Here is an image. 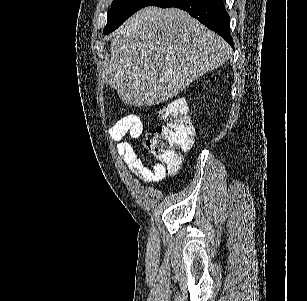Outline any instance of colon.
Returning <instances> with one entry per match:
<instances>
[{
    "label": "colon",
    "instance_id": "5ec220e1",
    "mask_svg": "<svg viewBox=\"0 0 307 301\" xmlns=\"http://www.w3.org/2000/svg\"><path fill=\"white\" fill-rule=\"evenodd\" d=\"M159 117L163 123L156 126L146 141V147L165 172L176 173L181 166L179 151L190 149L194 140L186 101L181 98L168 101L159 110Z\"/></svg>",
    "mask_w": 307,
    "mask_h": 301
}]
</instances>
